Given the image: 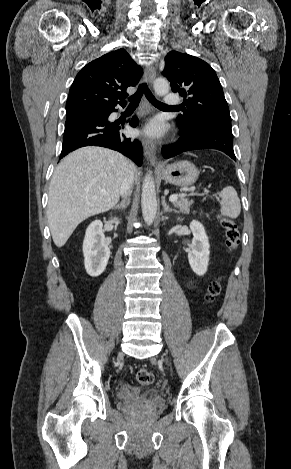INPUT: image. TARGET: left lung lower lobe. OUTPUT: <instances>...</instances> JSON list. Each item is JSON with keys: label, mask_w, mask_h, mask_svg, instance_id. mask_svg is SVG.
I'll return each mask as SVG.
<instances>
[{"label": "left lung lower lobe", "mask_w": 291, "mask_h": 469, "mask_svg": "<svg viewBox=\"0 0 291 469\" xmlns=\"http://www.w3.org/2000/svg\"><path fill=\"white\" fill-rule=\"evenodd\" d=\"M180 134L181 137L177 142L162 148L164 158L168 159L190 150L212 148L220 150L236 160L230 127L200 124L180 129Z\"/></svg>", "instance_id": "left-lung-lower-lobe-1"}]
</instances>
